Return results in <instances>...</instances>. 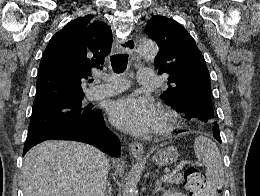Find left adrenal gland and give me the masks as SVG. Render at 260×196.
<instances>
[{"instance_id":"obj_1","label":"left adrenal gland","mask_w":260,"mask_h":196,"mask_svg":"<svg viewBox=\"0 0 260 196\" xmlns=\"http://www.w3.org/2000/svg\"><path fill=\"white\" fill-rule=\"evenodd\" d=\"M157 192H164V190L161 186L160 180H156V182H155V190L153 192V196H155V194H157Z\"/></svg>"}]
</instances>
